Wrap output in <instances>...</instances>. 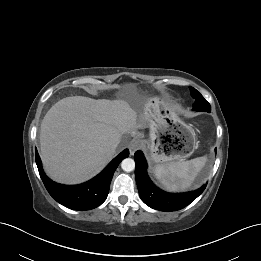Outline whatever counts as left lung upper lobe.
<instances>
[{
	"label": "left lung upper lobe",
	"instance_id": "5c2ea615",
	"mask_svg": "<svg viewBox=\"0 0 261 261\" xmlns=\"http://www.w3.org/2000/svg\"><path fill=\"white\" fill-rule=\"evenodd\" d=\"M190 88L191 96L195 99L193 104V110L211 112L210 104L204 99V97L193 87Z\"/></svg>",
	"mask_w": 261,
	"mask_h": 261
}]
</instances>
